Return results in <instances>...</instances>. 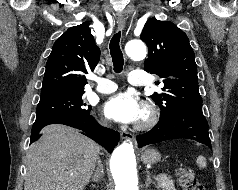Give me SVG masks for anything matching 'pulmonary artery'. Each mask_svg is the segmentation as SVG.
Instances as JSON below:
<instances>
[{
	"mask_svg": "<svg viewBox=\"0 0 238 190\" xmlns=\"http://www.w3.org/2000/svg\"><path fill=\"white\" fill-rule=\"evenodd\" d=\"M129 82L135 86H145L147 84V74L143 70H133L129 74ZM96 91L103 94L112 93L117 89L115 82L109 79H97Z\"/></svg>",
	"mask_w": 238,
	"mask_h": 190,
	"instance_id": "pulmonary-artery-1",
	"label": "pulmonary artery"
}]
</instances>
